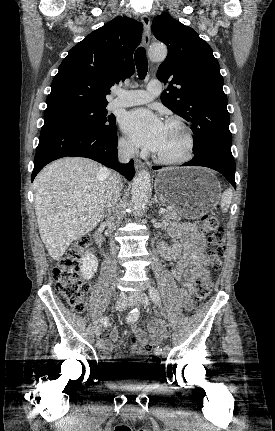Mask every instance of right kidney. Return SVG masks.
Wrapping results in <instances>:
<instances>
[{"label":"right kidney","mask_w":275,"mask_h":431,"mask_svg":"<svg viewBox=\"0 0 275 431\" xmlns=\"http://www.w3.org/2000/svg\"><path fill=\"white\" fill-rule=\"evenodd\" d=\"M98 268L97 258L90 252H86L81 259V276L84 279H91L96 273Z\"/></svg>","instance_id":"1"}]
</instances>
